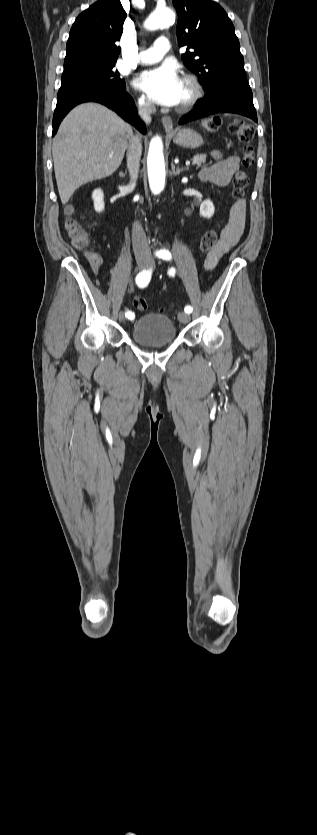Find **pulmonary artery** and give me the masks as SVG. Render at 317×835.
<instances>
[{
	"instance_id": "e3ab8cb5",
	"label": "pulmonary artery",
	"mask_w": 317,
	"mask_h": 835,
	"mask_svg": "<svg viewBox=\"0 0 317 835\" xmlns=\"http://www.w3.org/2000/svg\"><path fill=\"white\" fill-rule=\"evenodd\" d=\"M169 50V40L166 37H159L152 47L140 51L138 58L143 64L154 63L161 60Z\"/></svg>"
}]
</instances>
